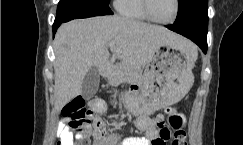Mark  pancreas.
I'll list each match as a JSON object with an SVG mask.
<instances>
[{
  "label": "pancreas",
  "instance_id": "pancreas-1",
  "mask_svg": "<svg viewBox=\"0 0 243 145\" xmlns=\"http://www.w3.org/2000/svg\"><path fill=\"white\" fill-rule=\"evenodd\" d=\"M140 77L139 70H132L122 63L112 67L111 75L109 80L113 84H118L123 81H131Z\"/></svg>",
  "mask_w": 243,
  "mask_h": 145
}]
</instances>
